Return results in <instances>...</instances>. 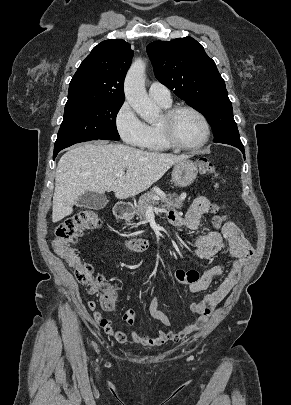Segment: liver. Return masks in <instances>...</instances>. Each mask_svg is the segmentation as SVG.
Returning a JSON list of instances; mask_svg holds the SVG:
<instances>
[{"mask_svg": "<svg viewBox=\"0 0 291 405\" xmlns=\"http://www.w3.org/2000/svg\"><path fill=\"white\" fill-rule=\"evenodd\" d=\"M186 155L147 152L123 144H83L68 150L59 160L55 175L52 221L73 212L85 192L113 191L118 199L135 196L157 182ZM127 170L121 177L119 171Z\"/></svg>", "mask_w": 291, "mask_h": 405, "instance_id": "liver-1", "label": "liver"}]
</instances>
